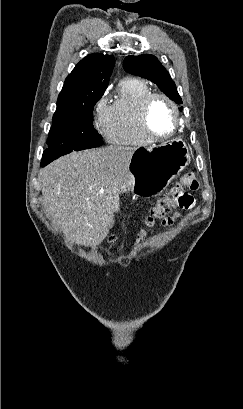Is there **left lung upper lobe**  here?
I'll return each instance as SVG.
<instances>
[{
	"instance_id": "obj_1",
	"label": "left lung upper lobe",
	"mask_w": 243,
	"mask_h": 409,
	"mask_svg": "<svg viewBox=\"0 0 243 409\" xmlns=\"http://www.w3.org/2000/svg\"><path fill=\"white\" fill-rule=\"evenodd\" d=\"M123 68L128 73L147 78L158 85L169 98L178 104L182 103L174 81L155 56L150 54L129 55L123 62ZM180 109L182 110V107Z\"/></svg>"
}]
</instances>
